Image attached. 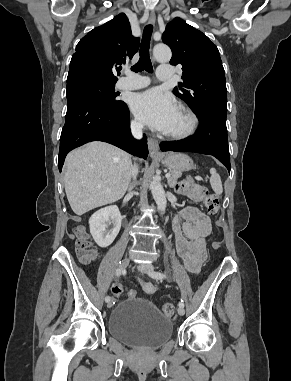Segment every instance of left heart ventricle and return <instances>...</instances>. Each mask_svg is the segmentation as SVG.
Masks as SVG:
<instances>
[{
    "mask_svg": "<svg viewBox=\"0 0 291 381\" xmlns=\"http://www.w3.org/2000/svg\"><path fill=\"white\" fill-rule=\"evenodd\" d=\"M188 125V119L180 110H178L171 126L167 132H178L185 129Z\"/></svg>",
    "mask_w": 291,
    "mask_h": 381,
    "instance_id": "1",
    "label": "left heart ventricle"
}]
</instances>
